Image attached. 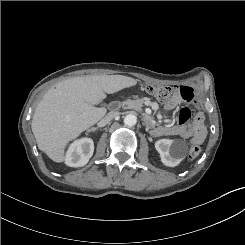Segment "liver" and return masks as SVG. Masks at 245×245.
<instances>
[{"label": "liver", "instance_id": "obj_1", "mask_svg": "<svg viewBox=\"0 0 245 245\" xmlns=\"http://www.w3.org/2000/svg\"><path fill=\"white\" fill-rule=\"evenodd\" d=\"M137 79L124 75L74 77L57 83L35 109L31 128L38 148L55 162L65 160V148L106 114L97 108L106 94L135 86Z\"/></svg>", "mask_w": 245, "mask_h": 245}]
</instances>
